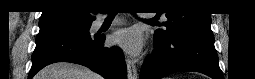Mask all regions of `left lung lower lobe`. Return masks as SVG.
<instances>
[{
  "instance_id": "1",
  "label": "left lung lower lobe",
  "mask_w": 255,
  "mask_h": 79,
  "mask_svg": "<svg viewBox=\"0 0 255 79\" xmlns=\"http://www.w3.org/2000/svg\"><path fill=\"white\" fill-rule=\"evenodd\" d=\"M180 71L223 79L212 32H181L166 42L154 39V52L144 63L140 79H161Z\"/></svg>"
}]
</instances>
